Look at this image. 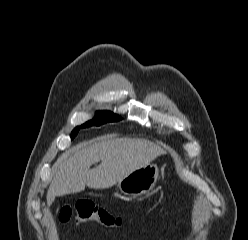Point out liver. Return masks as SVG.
I'll return each instance as SVG.
<instances>
[{
    "label": "liver",
    "mask_w": 248,
    "mask_h": 240,
    "mask_svg": "<svg viewBox=\"0 0 248 240\" xmlns=\"http://www.w3.org/2000/svg\"><path fill=\"white\" fill-rule=\"evenodd\" d=\"M164 153L161 147L144 139L102 138L89 145L81 143L64 152L54 164L47 205L50 206L56 196L81 192L85 186L110 188ZM99 161L97 167L90 169Z\"/></svg>",
    "instance_id": "6515ba94"
}]
</instances>
